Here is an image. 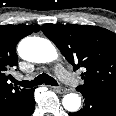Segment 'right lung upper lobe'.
<instances>
[{
    "instance_id": "1",
    "label": "right lung upper lobe",
    "mask_w": 116,
    "mask_h": 116,
    "mask_svg": "<svg viewBox=\"0 0 116 116\" xmlns=\"http://www.w3.org/2000/svg\"><path fill=\"white\" fill-rule=\"evenodd\" d=\"M39 28V25H0V116H9L34 91L13 87L8 79L12 78L10 69L18 65L17 43Z\"/></svg>"
}]
</instances>
